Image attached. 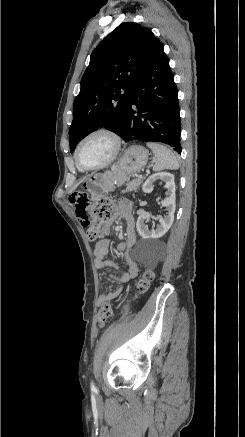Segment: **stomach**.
I'll list each match as a JSON object with an SVG mask.
<instances>
[{
	"label": "stomach",
	"instance_id": "0dacf381",
	"mask_svg": "<svg viewBox=\"0 0 245 437\" xmlns=\"http://www.w3.org/2000/svg\"><path fill=\"white\" fill-rule=\"evenodd\" d=\"M148 161V151L140 146H130L124 153L120 161L104 173H94L87 176L83 181L81 188L90 195L93 204L112 192L116 186L123 185L129 177L139 172Z\"/></svg>",
	"mask_w": 245,
	"mask_h": 437
}]
</instances>
